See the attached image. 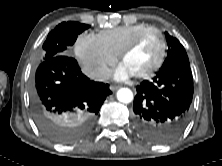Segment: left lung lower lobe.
<instances>
[{"label":"left lung lower lobe","instance_id":"1","mask_svg":"<svg viewBox=\"0 0 222 166\" xmlns=\"http://www.w3.org/2000/svg\"><path fill=\"white\" fill-rule=\"evenodd\" d=\"M133 123L145 139L166 144L185 129L190 117L193 77L190 66L159 70L136 87Z\"/></svg>","mask_w":222,"mask_h":166}]
</instances>
